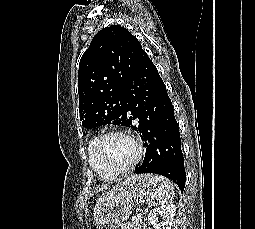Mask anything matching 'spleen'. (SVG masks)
Segmentation results:
<instances>
[{"label": "spleen", "instance_id": "obj_1", "mask_svg": "<svg viewBox=\"0 0 255 229\" xmlns=\"http://www.w3.org/2000/svg\"><path fill=\"white\" fill-rule=\"evenodd\" d=\"M157 187L150 194L149 202L153 205H165L174 198V187L171 181L163 176L154 177Z\"/></svg>", "mask_w": 255, "mask_h": 229}]
</instances>
